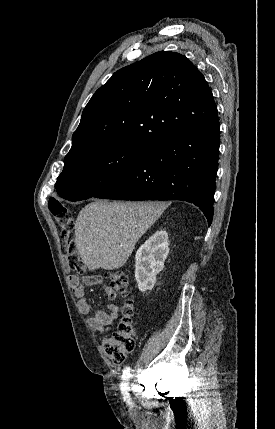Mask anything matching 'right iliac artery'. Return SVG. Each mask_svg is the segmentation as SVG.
<instances>
[{
  "instance_id": "obj_1",
  "label": "right iliac artery",
  "mask_w": 275,
  "mask_h": 429,
  "mask_svg": "<svg viewBox=\"0 0 275 429\" xmlns=\"http://www.w3.org/2000/svg\"><path fill=\"white\" fill-rule=\"evenodd\" d=\"M130 368L126 367L123 371V375H122V383H121V389L124 395V399H127L129 394H128V381L130 379Z\"/></svg>"
}]
</instances>
